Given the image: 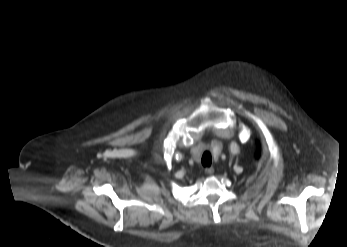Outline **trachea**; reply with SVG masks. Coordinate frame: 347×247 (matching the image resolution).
<instances>
[{
  "instance_id": "trachea-1",
  "label": "trachea",
  "mask_w": 347,
  "mask_h": 247,
  "mask_svg": "<svg viewBox=\"0 0 347 247\" xmlns=\"http://www.w3.org/2000/svg\"><path fill=\"white\" fill-rule=\"evenodd\" d=\"M212 163L211 155L209 152H205L202 156V164L204 166H210Z\"/></svg>"
}]
</instances>
